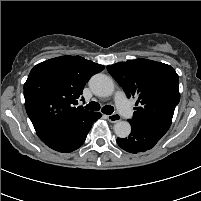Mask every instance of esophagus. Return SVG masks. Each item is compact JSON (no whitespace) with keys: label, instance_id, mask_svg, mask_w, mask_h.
Returning <instances> with one entry per match:
<instances>
[{"label":"esophagus","instance_id":"esophagus-1","mask_svg":"<svg viewBox=\"0 0 201 201\" xmlns=\"http://www.w3.org/2000/svg\"><path fill=\"white\" fill-rule=\"evenodd\" d=\"M106 118L108 121H110L111 123H116L118 121L121 120V117L119 114L117 113H114V114H111V115H106Z\"/></svg>","mask_w":201,"mask_h":201}]
</instances>
